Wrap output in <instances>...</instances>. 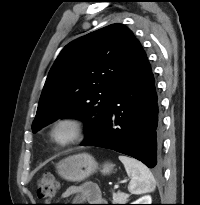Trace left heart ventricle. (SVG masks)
<instances>
[{
  "label": "left heart ventricle",
  "instance_id": "b2bd125f",
  "mask_svg": "<svg viewBox=\"0 0 200 205\" xmlns=\"http://www.w3.org/2000/svg\"><path fill=\"white\" fill-rule=\"evenodd\" d=\"M68 135V130L67 129H61L59 132H58V138L59 139H64L66 138Z\"/></svg>",
  "mask_w": 200,
  "mask_h": 205
}]
</instances>
